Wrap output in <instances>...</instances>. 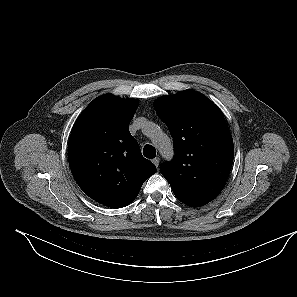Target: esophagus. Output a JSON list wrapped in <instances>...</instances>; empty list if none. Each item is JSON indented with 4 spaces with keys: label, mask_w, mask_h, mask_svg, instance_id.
Wrapping results in <instances>:
<instances>
[{
    "label": "esophagus",
    "mask_w": 297,
    "mask_h": 297,
    "mask_svg": "<svg viewBox=\"0 0 297 297\" xmlns=\"http://www.w3.org/2000/svg\"><path fill=\"white\" fill-rule=\"evenodd\" d=\"M152 162L155 164L156 167L159 166V162H160V158L159 157H156L152 160Z\"/></svg>",
    "instance_id": "34e87169"
}]
</instances>
